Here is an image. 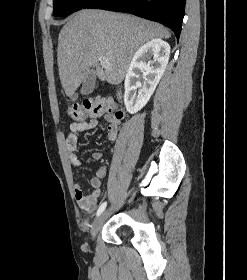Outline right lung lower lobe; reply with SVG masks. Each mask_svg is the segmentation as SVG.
Returning a JSON list of instances; mask_svg holds the SVG:
<instances>
[{
  "label": "right lung lower lobe",
  "instance_id": "1",
  "mask_svg": "<svg viewBox=\"0 0 247 280\" xmlns=\"http://www.w3.org/2000/svg\"><path fill=\"white\" fill-rule=\"evenodd\" d=\"M186 0H97L88 8L117 10L168 26L179 39Z\"/></svg>",
  "mask_w": 247,
  "mask_h": 280
}]
</instances>
